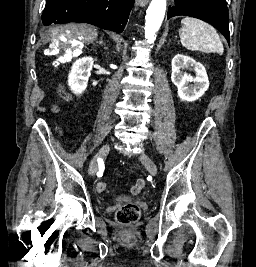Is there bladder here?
Listing matches in <instances>:
<instances>
[{
    "instance_id": "1",
    "label": "bladder",
    "mask_w": 256,
    "mask_h": 267,
    "mask_svg": "<svg viewBox=\"0 0 256 267\" xmlns=\"http://www.w3.org/2000/svg\"><path fill=\"white\" fill-rule=\"evenodd\" d=\"M117 199L120 200L123 203H127V201H128L125 196L118 197Z\"/></svg>"
}]
</instances>
